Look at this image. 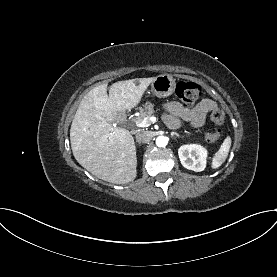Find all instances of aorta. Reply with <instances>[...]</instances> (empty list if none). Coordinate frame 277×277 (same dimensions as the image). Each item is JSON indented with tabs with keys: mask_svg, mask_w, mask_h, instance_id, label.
I'll return each mask as SVG.
<instances>
[{
	"mask_svg": "<svg viewBox=\"0 0 277 277\" xmlns=\"http://www.w3.org/2000/svg\"><path fill=\"white\" fill-rule=\"evenodd\" d=\"M168 143V139L165 136H158L156 139V145L158 147H165Z\"/></svg>",
	"mask_w": 277,
	"mask_h": 277,
	"instance_id": "1",
	"label": "aorta"
}]
</instances>
